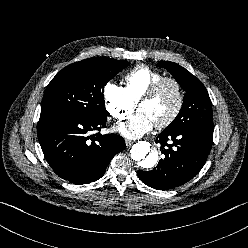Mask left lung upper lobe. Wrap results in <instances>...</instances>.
Segmentation results:
<instances>
[{
	"label": "left lung upper lobe",
	"instance_id": "1",
	"mask_svg": "<svg viewBox=\"0 0 248 248\" xmlns=\"http://www.w3.org/2000/svg\"><path fill=\"white\" fill-rule=\"evenodd\" d=\"M186 92L182 109L167 130L214 129L212 103L202 82L180 65L160 61Z\"/></svg>",
	"mask_w": 248,
	"mask_h": 248
}]
</instances>
